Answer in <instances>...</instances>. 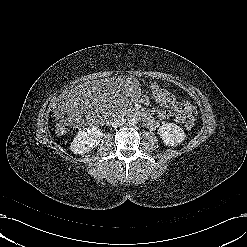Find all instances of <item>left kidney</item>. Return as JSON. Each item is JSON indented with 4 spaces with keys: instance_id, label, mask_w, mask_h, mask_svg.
I'll list each match as a JSON object with an SVG mask.
<instances>
[{
    "instance_id": "1",
    "label": "left kidney",
    "mask_w": 247,
    "mask_h": 247,
    "mask_svg": "<svg viewBox=\"0 0 247 247\" xmlns=\"http://www.w3.org/2000/svg\"><path fill=\"white\" fill-rule=\"evenodd\" d=\"M158 134L165 145L177 146L186 138L184 131L174 123H166L159 127Z\"/></svg>"
}]
</instances>
